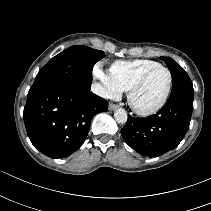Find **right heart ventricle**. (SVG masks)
Masks as SVG:
<instances>
[{"mask_svg":"<svg viewBox=\"0 0 211 211\" xmlns=\"http://www.w3.org/2000/svg\"><path fill=\"white\" fill-rule=\"evenodd\" d=\"M160 65L149 59L118 60L110 67V74L122 91H128L133 83L148 69Z\"/></svg>","mask_w":211,"mask_h":211,"instance_id":"1","label":"right heart ventricle"}]
</instances>
